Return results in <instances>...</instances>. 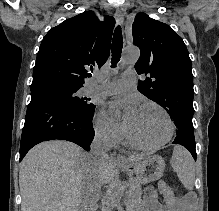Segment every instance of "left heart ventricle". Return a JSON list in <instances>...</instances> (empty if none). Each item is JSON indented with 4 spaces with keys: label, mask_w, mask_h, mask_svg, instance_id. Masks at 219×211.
<instances>
[{
    "label": "left heart ventricle",
    "mask_w": 219,
    "mask_h": 211,
    "mask_svg": "<svg viewBox=\"0 0 219 211\" xmlns=\"http://www.w3.org/2000/svg\"><path fill=\"white\" fill-rule=\"evenodd\" d=\"M126 128L136 141L143 144H155L167 135L168 122L161 110L146 106L138 108L136 115Z\"/></svg>",
    "instance_id": "1"
}]
</instances>
